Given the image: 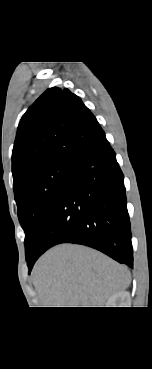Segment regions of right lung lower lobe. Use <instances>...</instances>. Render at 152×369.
Returning a JSON list of instances; mask_svg holds the SVG:
<instances>
[{"label":"right lung lower lobe","mask_w":152,"mask_h":369,"mask_svg":"<svg viewBox=\"0 0 152 369\" xmlns=\"http://www.w3.org/2000/svg\"><path fill=\"white\" fill-rule=\"evenodd\" d=\"M67 242L90 246L133 266L124 176L105 134L71 163L27 260L29 270L50 247Z\"/></svg>","instance_id":"1"}]
</instances>
